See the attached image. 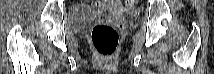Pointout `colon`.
<instances>
[{"mask_svg":"<svg viewBox=\"0 0 214 74\" xmlns=\"http://www.w3.org/2000/svg\"><path fill=\"white\" fill-rule=\"evenodd\" d=\"M99 5V1L94 2ZM125 7L132 9L136 5L135 0H125ZM119 34L117 29L109 24H96L92 29V43L97 53L103 57L114 54L118 46Z\"/></svg>","mask_w":214,"mask_h":74,"instance_id":"1","label":"colon"}]
</instances>
